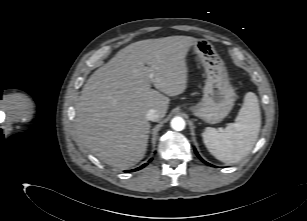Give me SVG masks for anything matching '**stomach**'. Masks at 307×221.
<instances>
[{"mask_svg": "<svg viewBox=\"0 0 307 221\" xmlns=\"http://www.w3.org/2000/svg\"><path fill=\"white\" fill-rule=\"evenodd\" d=\"M206 73L202 100L189 107L197 117L209 124L221 122L232 110L236 94L230 84L224 62L206 39L192 45Z\"/></svg>", "mask_w": 307, "mask_h": 221, "instance_id": "obj_1", "label": "stomach"}]
</instances>
